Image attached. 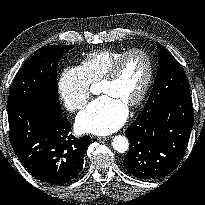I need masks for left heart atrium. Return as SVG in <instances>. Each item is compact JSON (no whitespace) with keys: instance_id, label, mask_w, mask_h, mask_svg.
I'll return each instance as SVG.
<instances>
[{"instance_id":"obj_1","label":"left heart atrium","mask_w":205,"mask_h":205,"mask_svg":"<svg viewBox=\"0 0 205 205\" xmlns=\"http://www.w3.org/2000/svg\"><path fill=\"white\" fill-rule=\"evenodd\" d=\"M127 106L120 100L103 95L92 101L76 120L81 132L106 135L118 130L127 118Z\"/></svg>"}]
</instances>
